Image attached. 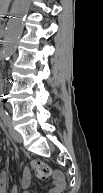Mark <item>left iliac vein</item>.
I'll use <instances>...</instances> for the list:
<instances>
[{
    "instance_id": "4c4485c4",
    "label": "left iliac vein",
    "mask_w": 103,
    "mask_h": 193,
    "mask_svg": "<svg viewBox=\"0 0 103 193\" xmlns=\"http://www.w3.org/2000/svg\"><path fill=\"white\" fill-rule=\"evenodd\" d=\"M9 133L17 143L23 142L22 136L11 125H9Z\"/></svg>"
}]
</instances>
